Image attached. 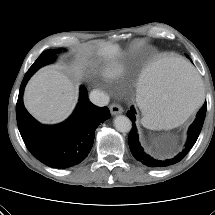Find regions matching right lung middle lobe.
<instances>
[{
    "label": "right lung middle lobe",
    "mask_w": 215,
    "mask_h": 215,
    "mask_svg": "<svg viewBox=\"0 0 215 215\" xmlns=\"http://www.w3.org/2000/svg\"><path fill=\"white\" fill-rule=\"evenodd\" d=\"M60 52L59 50H54L52 51L51 49L44 51L39 57L38 59L34 62V64L30 67V69L28 70L27 73L29 74H33L37 69H39L41 66L52 62L54 60V53H58Z\"/></svg>",
    "instance_id": "1"
}]
</instances>
